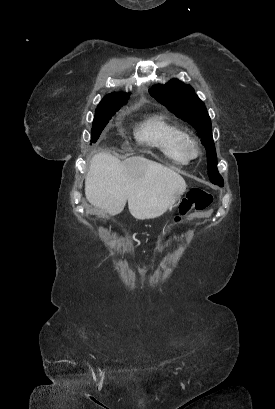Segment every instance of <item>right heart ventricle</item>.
Masks as SVG:
<instances>
[{
	"label": "right heart ventricle",
	"instance_id": "obj_1",
	"mask_svg": "<svg viewBox=\"0 0 275 409\" xmlns=\"http://www.w3.org/2000/svg\"><path fill=\"white\" fill-rule=\"evenodd\" d=\"M137 139L165 157H180L178 145L186 132L160 115L147 119L136 132Z\"/></svg>",
	"mask_w": 275,
	"mask_h": 409
}]
</instances>
